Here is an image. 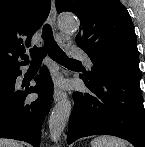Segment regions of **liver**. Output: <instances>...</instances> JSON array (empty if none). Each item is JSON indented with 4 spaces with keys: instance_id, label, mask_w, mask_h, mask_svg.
<instances>
[{
    "instance_id": "liver-1",
    "label": "liver",
    "mask_w": 145,
    "mask_h": 147,
    "mask_svg": "<svg viewBox=\"0 0 145 147\" xmlns=\"http://www.w3.org/2000/svg\"><path fill=\"white\" fill-rule=\"evenodd\" d=\"M0 147H23V145L11 139H0Z\"/></svg>"
}]
</instances>
